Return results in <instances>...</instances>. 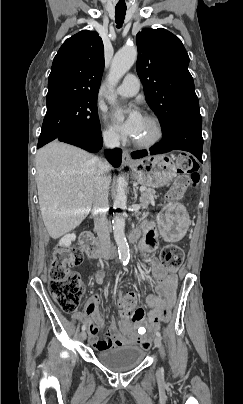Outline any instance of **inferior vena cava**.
<instances>
[{
  "label": "inferior vena cava",
  "mask_w": 243,
  "mask_h": 404,
  "mask_svg": "<svg viewBox=\"0 0 243 404\" xmlns=\"http://www.w3.org/2000/svg\"><path fill=\"white\" fill-rule=\"evenodd\" d=\"M104 144L107 148H119L120 140L118 136L106 134L103 136ZM111 166L107 160L98 162L97 174L94 178V196H93V216L94 230L99 238L100 250L103 258L107 260L111 254V242L106 214L108 212V190L111 182L109 170Z\"/></svg>",
  "instance_id": "1"
}]
</instances>
